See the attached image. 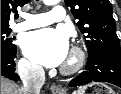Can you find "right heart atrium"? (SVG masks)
Here are the masks:
<instances>
[{
    "label": "right heart atrium",
    "mask_w": 121,
    "mask_h": 94,
    "mask_svg": "<svg viewBox=\"0 0 121 94\" xmlns=\"http://www.w3.org/2000/svg\"><path fill=\"white\" fill-rule=\"evenodd\" d=\"M18 71L23 77H36L41 74V68L27 58L19 61Z\"/></svg>",
    "instance_id": "1"
}]
</instances>
